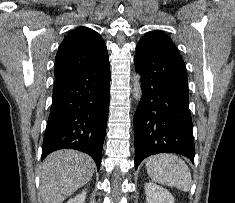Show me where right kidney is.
I'll return each instance as SVG.
<instances>
[{"label":"right kidney","instance_id":"1","mask_svg":"<svg viewBox=\"0 0 235 203\" xmlns=\"http://www.w3.org/2000/svg\"><path fill=\"white\" fill-rule=\"evenodd\" d=\"M85 199H86V191H82L74 198L69 199L67 203H85Z\"/></svg>","mask_w":235,"mask_h":203}]
</instances>
